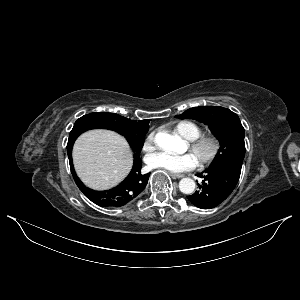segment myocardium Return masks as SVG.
Segmentation results:
<instances>
[{"label":"myocardium","instance_id":"1","mask_svg":"<svg viewBox=\"0 0 300 300\" xmlns=\"http://www.w3.org/2000/svg\"><path fill=\"white\" fill-rule=\"evenodd\" d=\"M204 147H208V152L198 160V163L201 166H209L217 160L221 153V140L215 134H201L190 140L191 151H198Z\"/></svg>","mask_w":300,"mask_h":300}]
</instances>
